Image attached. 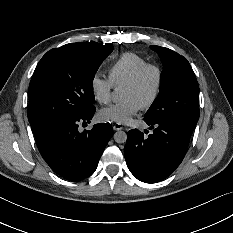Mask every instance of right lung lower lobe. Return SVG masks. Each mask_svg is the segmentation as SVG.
I'll list each match as a JSON object with an SVG mask.
<instances>
[{
    "label": "right lung lower lobe",
    "instance_id": "98d812e1",
    "mask_svg": "<svg viewBox=\"0 0 233 233\" xmlns=\"http://www.w3.org/2000/svg\"><path fill=\"white\" fill-rule=\"evenodd\" d=\"M96 108L92 106L79 117L32 127L40 154L61 177L79 181L96 170L98 161L113 135L112 125L99 123L81 132L79 124L90 122Z\"/></svg>",
    "mask_w": 233,
    "mask_h": 233
}]
</instances>
